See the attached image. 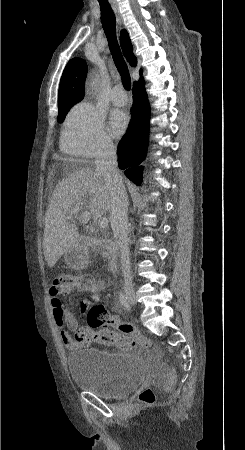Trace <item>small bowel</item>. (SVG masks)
Wrapping results in <instances>:
<instances>
[{
  "instance_id": "obj_1",
  "label": "small bowel",
  "mask_w": 245,
  "mask_h": 450,
  "mask_svg": "<svg viewBox=\"0 0 245 450\" xmlns=\"http://www.w3.org/2000/svg\"><path fill=\"white\" fill-rule=\"evenodd\" d=\"M90 283L93 288L92 290L88 291L90 297L84 299L83 306H86L93 300L99 299V291L105 285L103 282L96 281L94 279H90ZM68 290L85 291L84 289L81 288H72ZM59 293H60L59 289L54 287H51L48 291L50 297V307L52 310V316L55 321V324L59 328L60 339L69 350H77L88 347L93 341L88 343L82 342L78 339L77 335L73 336L71 334V331L78 329L77 323L74 315L70 312V310L66 307V305L62 303L59 300V298H57V295ZM112 328L118 329L117 326H113ZM155 349L159 350L158 348Z\"/></svg>"
}]
</instances>
